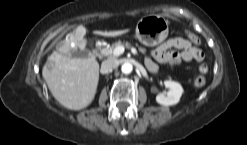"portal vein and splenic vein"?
<instances>
[{"label": "portal vein and splenic vein", "instance_id": "1", "mask_svg": "<svg viewBox=\"0 0 247 145\" xmlns=\"http://www.w3.org/2000/svg\"><path fill=\"white\" fill-rule=\"evenodd\" d=\"M124 50H125V48H124L123 46H118V47H116V48L114 49L113 54H114L115 56H120L121 54L124 53ZM132 52H133V53H136V50H135V49H132Z\"/></svg>", "mask_w": 247, "mask_h": 145}]
</instances>
